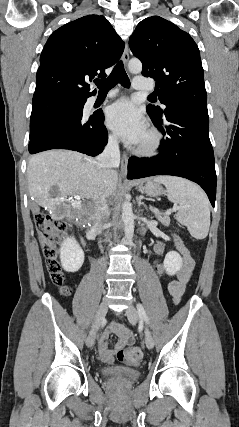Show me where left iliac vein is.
I'll use <instances>...</instances> for the list:
<instances>
[{"instance_id": "left-iliac-vein-1", "label": "left iliac vein", "mask_w": 239, "mask_h": 427, "mask_svg": "<svg viewBox=\"0 0 239 427\" xmlns=\"http://www.w3.org/2000/svg\"><path fill=\"white\" fill-rule=\"evenodd\" d=\"M125 313L131 324L134 325L139 320V313L133 305H129ZM145 344L148 349H152L154 347V340L148 328L145 329Z\"/></svg>"}]
</instances>
